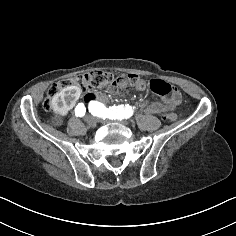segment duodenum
Masks as SVG:
<instances>
[{
	"instance_id": "duodenum-1",
	"label": "duodenum",
	"mask_w": 236,
	"mask_h": 236,
	"mask_svg": "<svg viewBox=\"0 0 236 236\" xmlns=\"http://www.w3.org/2000/svg\"><path fill=\"white\" fill-rule=\"evenodd\" d=\"M97 100L102 103L104 106H107V107H114L116 105H111L109 104V99H108V96L106 94H101V95H98L97 96Z\"/></svg>"
}]
</instances>
